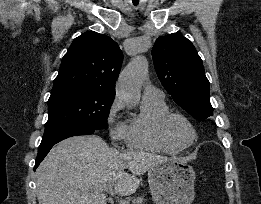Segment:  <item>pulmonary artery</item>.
Instances as JSON below:
<instances>
[{"label":"pulmonary artery","instance_id":"obj_1","mask_svg":"<svg viewBox=\"0 0 261 204\" xmlns=\"http://www.w3.org/2000/svg\"><path fill=\"white\" fill-rule=\"evenodd\" d=\"M143 98L145 99H162L164 98L163 92L153 85H147L143 90Z\"/></svg>","mask_w":261,"mask_h":204}]
</instances>
